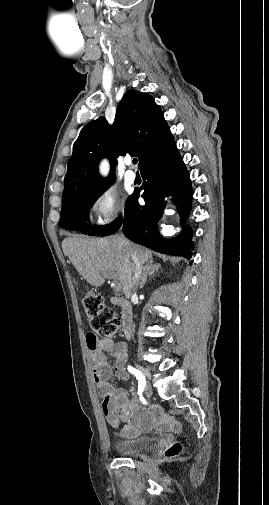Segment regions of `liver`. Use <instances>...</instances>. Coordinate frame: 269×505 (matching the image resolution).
Returning <instances> with one entry per match:
<instances>
[{
    "label": "liver",
    "mask_w": 269,
    "mask_h": 505,
    "mask_svg": "<svg viewBox=\"0 0 269 505\" xmlns=\"http://www.w3.org/2000/svg\"><path fill=\"white\" fill-rule=\"evenodd\" d=\"M62 249L90 285L101 286L106 276H112L121 284L126 298L131 296L133 278L130 251L137 255L141 264L152 258L150 250L119 235L97 239L78 235L66 237L62 242Z\"/></svg>",
    "instance_id": "liver-1"
}]
</instances>
